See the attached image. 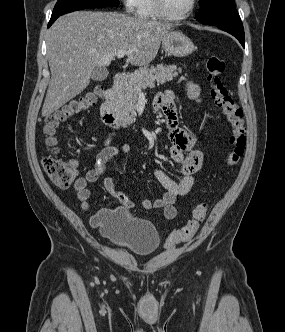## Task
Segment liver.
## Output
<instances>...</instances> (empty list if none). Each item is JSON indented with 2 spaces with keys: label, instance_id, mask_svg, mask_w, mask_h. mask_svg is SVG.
Wrapping results in <instances>:
<instances>
[{
  "label": "liver",
  "instance_id": "liver-1",
  "mask_svg": "<svg viewBox=\"0 0 285 332\" xmlns=\"http://www.w3.org/2000/svg\"><path fill=\"white\" fill-rule=\"evenodd\" d=\"M171 25L113 12L76 11L51 26L47 56L51 80L42 116L57 111L90 83L93 70L105 67L120 50L128 61L143 66L153 61Z\"/></svg>",
  "mask_w": 285,
  "mask_h": 332
}]
</instances>
